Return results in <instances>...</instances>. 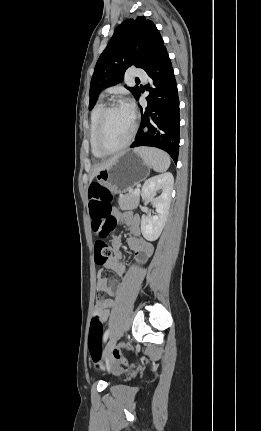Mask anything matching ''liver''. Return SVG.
Returning <instances> with one entry per match:
<instances>
[{
    "instance_id": "liver-1",
    "label": "liver",
    "mask_w": 261,
    "mask_h": 431,
    "mask_svg": "<svg viewBox=\"0 0 261 431\" xmlns=\"http://www.w3.org/2000/svg\"><path fill=\"white\" fill-rule=\"evenodd\" d=\"M120 155L121 154L116 155L115 157L109 159L108 161H106V162H104L102 164L97 165L94 168V170H93V174H92V176L90 178V181L93 180V178L97 175L98 172H100L101 170L105 169L106 167H108L109 165H111L112 163H114Z\"/></svg>"
}]
</instances>
